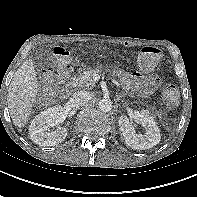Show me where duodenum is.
<instances>
[{
    "label": "duodenum",
    "instance_id": "410a0bca",
    "mask_svg": "<svg viewBox=\"0 0 197 197\" xmlns=\"http://www.w3.org/2000/svg\"><path fill=\"white\" fill-rule=\"evenodd\" d=\"M72 89H73V86L71 84L68 85L66 88L67 93H70L72 91Z\"/></svg>",
    "mask_w": 197,
    "mask_h": 197
}]
</instances>
